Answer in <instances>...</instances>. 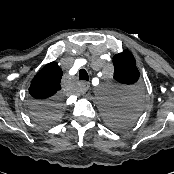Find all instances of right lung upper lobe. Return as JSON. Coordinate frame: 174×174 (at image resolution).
<instances>
[{
  "instance_id": "cb5924a9",
  "label": "right lung upper lobe",
  "mask_w": 174,
  "mask_h": 174,
  "mask_svg": "<svg viewBox=\"0 0 174 174\" xmlns=\"http://www.w3.org/2000/svg\"><path fill=\"white\" fill-rule=\"evenodd\" d=\"M62 71L56 62L45 65L33 78L29 88L35 101H47L59 96Z\"/></svg>"
}]
</instances>
